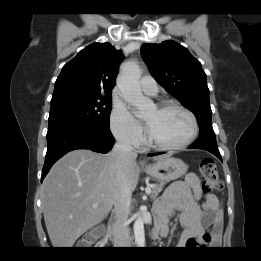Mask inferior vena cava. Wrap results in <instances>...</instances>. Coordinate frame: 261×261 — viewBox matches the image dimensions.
Here are the masks:
<instances>
[{
    "mask_svg": "<svg viewBox=\"0 0 261 261\" xmlns=\"http://www.w3.org/2000/svg\"><path fill=\"white\" fill-rule=\"evenodd\" d=\"M115 166L117 168V188L114 195V243L120 247L130 244V230L128 228L129 206L131 192L125 182L124 166L137 158L133 146L126 140H117L113 149Z\"/></svg>",
    "mask_w": 261,
    "mask_h": 261,
    "instance_id": "602c4592",
    "label": "inferior vena cava"
}]
</instances>
